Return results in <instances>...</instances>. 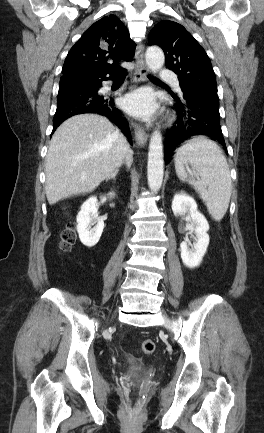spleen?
I'll use <instances>...</instances> for the list:
<instances>
[{"label":"spleen","mask_w":264,"mask_h":433,"mask_svg":"<svg viewBox=\"0 0 264 433\" xmlns=\"http://www.w3.org/2000/svg\"><path fill=\"white\" fill-rule=\"evenodd\" d=\"M174 162L178 178L194 186L212 218L220 221L226 214L232 191L229 166L220 147L204 136L194 137L176 150ZM188 164L190 171L186 168Z\"/></svg>","instance_id":"3e777b00"}]
</instances>
